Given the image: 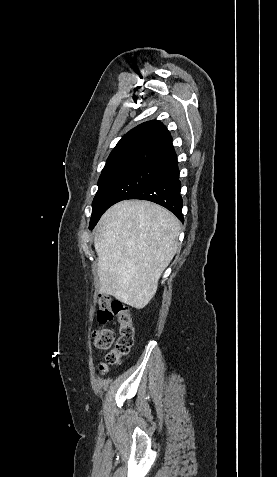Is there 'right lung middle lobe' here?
<instances>
[{
	"instance_id": "1",
	"label": "right lung middle lobe",
	"mask_w": 277,
	"mask_h": 477,
	"mask_svg": "<svg viewBox=\"0 0 277 477\" xmlns=\"http://www.w3.org/2000/svg\"><path fill=\"white\" fill-rule=\"evenodd\" d=\"M160 168L127 165L102 172L98 191L92 203L89 229H93L101 215L113 204L129 197L150 181Z\"/></svg>"
}]
</instances>
